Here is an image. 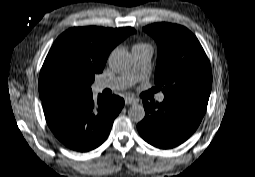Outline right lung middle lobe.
Returning <instances> with one entry per match:
<instances>
[{
  "instance_id": "right-lung-middle-lobe-1",
  "label": "right lung middle lobe",
  "mask_w": 255,
  "mask_h": 177,
  "mask_svg": "<svg viewBox=\"0 0 255 177\" xmlns=\"http://www.w3.org/2000/svg\"><path fill=\"white\" fill-rule=\"evenodd\" d=\"M96 71L71 51L58 48L49 52L39 77L41 100L78 95L91 91Z\"/></svg>"
}]
</instances>
